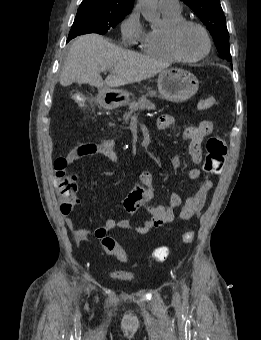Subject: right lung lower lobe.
I'll use <instances>...</instances> for the list:
<instances>
[{
	"mask_svg": "<svg viewBox=\"0 0 261 340\" xmlns=\"http://www.w3.org/2000/svg\"><path fill=\"white\" fill-rule=\"evenodd\" d=\"M76 36H77V35H75V36H69L68 39H67V42H68L69 40H71L72 38L76 37Z\"/></svg>",
	"mask_w": 261,
	"mask_h": 340,
	"instance_id": "1",
	"label": "right lung lower lobe"
}]
</instances>
